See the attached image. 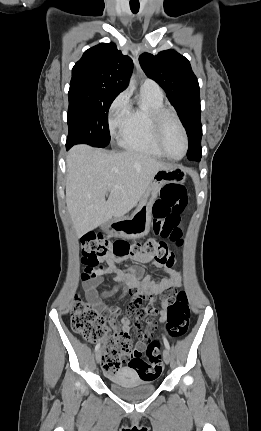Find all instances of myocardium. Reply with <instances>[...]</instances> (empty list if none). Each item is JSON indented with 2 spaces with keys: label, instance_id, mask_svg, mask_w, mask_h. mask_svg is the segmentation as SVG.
<instances>
[{
  "label": "myocardium",
  "instance_id": "1",
  "mask_svg": "<svg viewBox=\"0 0 261 431\" xmlns=\"http://www.w3.org/2000/svg\"><path fill=\"white\" fill-rule=\"evenodd\" d=\"M149 116H150V121L152 125L153 137L159 150L163 153L165 157H167L170 160L178 161L183 159L186 156L189 149V138H188L186 129L182 121L180 120L178 114L172 109L161 108V109L151 110ZM168 118H172L175 121V123L181 130V133L184 138L185 148H184L183 154L180 157L170 156L165 150V147L163 145L162 133H163L165 122Z\"/></svg>",
  "mask_w": 261,
  "mask_h": 431
}]
</instances>
